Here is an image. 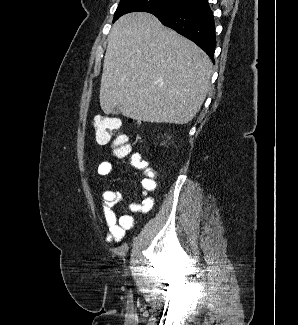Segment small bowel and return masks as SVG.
<instances>
[{"label": "small bowel", "mask_w": 298, "mask_h": 325, "mask_svg": "<svg viewBox=\"0 0 298 325\" xmlns=\"http://www.w3.org/2000/svg\"><path fill=\"white\" fill-rule=\"evenodd\" d=\"M113 162L110 160L102 161L97 169L99 176L106 177L113 170ZM157 172L154 168L148 167L141 180L142 199L139 203H130L128 206L130 213H147L154 206V198L150 195L157 187ZM103 215L107 225L106 240L108 242H121L126 231L133 229L135 220L131 214L118 215L114 207L122 200V194L117 190H104L102 192Z\"/></svg>", "instance_id": "small-bowel-1"}]
</instances>
